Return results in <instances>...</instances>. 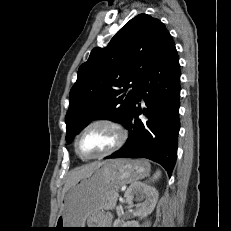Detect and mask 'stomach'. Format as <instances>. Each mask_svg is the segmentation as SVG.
<instances>
[{
    "label": "stomach",
    "instance_id": "0dacf381",
    "mask_svg": "<svg viewBox=\"0 0 231 231\" xmlns=\"http://www.w3.org/2000/svg\"><path fill=\"white\" fill-rule=\"evenodd\" d=\"M147 160L114 159L104 162L92 174L73 184L62 198L55 230L85 228V222L96 211L107 209L111 197L119 189L149 175Z\"/></svg>",
    "mask_w": 231,
    "mask_h": 231
}]
</instances>
